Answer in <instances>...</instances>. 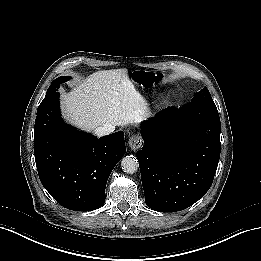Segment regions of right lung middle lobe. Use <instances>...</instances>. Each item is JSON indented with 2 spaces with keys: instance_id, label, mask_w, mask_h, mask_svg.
<instances>
[{
  "instance_id": "1",
  "label": "right lung middle lobe",
  "mask_w": 261,
  "mask_h": 261,
  "mask_svg": "<svg viewBox=\"0 0 261 261\" xmlns=\"http://www.w3.org/2000/svg\"><path fill=\"white\" fill-rule=\"evenodd\" d=\"M69 80H70V77H68V76L59 77V78L55 79L52 82V84L49 86L46 96L43 99V101L41 102V104L39 105V107H41L48 99H50L51 97H53L56 94L57 89L59 88L60 84L65 83Z\"/></svg>"
}]
</instances>
